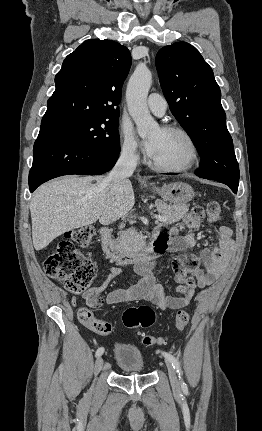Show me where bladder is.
<instances>
[{
  "instance_id": "31cf9c89",
  "label": "bladder",
  "mask_w": 262,
  "mask_h": 431,
  "mask_svg": "<svg viewBox=\"0 0 262 431\" xmlns=\"http://www.w3.org/2000/svg\"><path fill=\"white\" fill-rule=\"evenodd\" d=\"M115 356L118 366L126 372H142L145 366L141 351L130 344H117Z\"/></svg>"
}]
</instances>
